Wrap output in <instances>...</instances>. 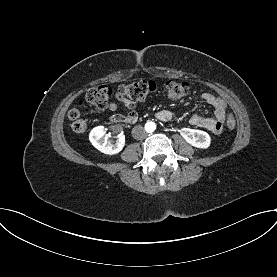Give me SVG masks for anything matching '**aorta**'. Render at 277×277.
<instances>
[{"instance_id":"762f6f07","label":"aorta","mask_w":277,"mask_h":277,"mask_svg":"<svg viewBox=\"0 0 277 277\" xmlns=\"http://www.w3.org/2000/svg\"><path fill=\"white\" fill-rule=\"evenodd\" d=\"M155 123L153 122H147L146 125H145V128H146V131L151 133L155 130Z\"/></svg>"}]
</instances>
